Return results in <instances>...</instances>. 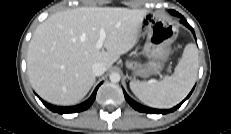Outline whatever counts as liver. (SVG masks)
<instances>
[{"label": "liver", "mask_w": 231, "mask_h": 134, "mask_svg": "<svg viewBox=\"0 0 231 134\" xmlns=\"http://www.w3.org/2000/svg\"><path fill=\"white\" fill-rule=\"evenodd\" d=\"M147 10L79 7L57 12L35 30L27 51V72L37 94L55 105H73L95 83L92 65L106 69L131 50ZM104 48H96L100 29Z\"/></svg>", "instance_id": "6515ba94"}]
</instances>
